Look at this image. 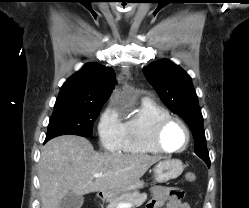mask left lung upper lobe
<instances>
[{"label": "left lung upper lobe", "mask_w": 249, "mask_h": 208, "mask_svg": "<svg viewBox=\"0 0 249 208\" xmlns=\"http://www.w3.org/2000/svg\"><path fill=\"white\" fill-rule=\"evenodd\" d=\"M143 72L162 102L188 124L194 135L195 153L210 167L203 117L190 76L167 59L149 64Z\"/></svg>", "instance_id": "1"}]
</instances>
